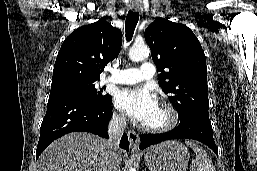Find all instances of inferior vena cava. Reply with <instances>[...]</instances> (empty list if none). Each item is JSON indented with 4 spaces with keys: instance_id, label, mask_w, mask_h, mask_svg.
I'll return each instance as SVG.
<instances>
[{
    "instance_id": "1",
    "label": "inferior vena cava",
    "mask_w": 257,
    "mask_h": 171,
    "mask_svg": "<svg viewBox=\"0 0 257 171\" xmlns=\"http://www.w3.org/2000/svg\"><path fill=\"white\" fill-rule=\"evenodd\" d=\"M127 126V118L124 115H113L112 119L108 124V135L107 140V153L103 166V171H120L119 164L116 161V151L118 149L116 145V139L122 135Z\"/></svg>"
}]
</instances>
